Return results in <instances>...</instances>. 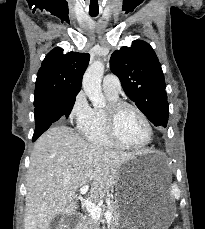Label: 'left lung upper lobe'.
<instances>
[{
    "mask_svg": "<svg viewBox=\"0 0 205 229\" xmlns=\"http://www.w3.org/2000/svg\"><path fill=\"white\" fill-rule=\"evenodd\" d=\"M111 71L117 75L127 96L155 126H167L169 109L165 80L153 48L135 40L112 53Z\"/></svg>",
    "mask_w": 205,
    "mask_h": 229,
    "instance_id": "5c2ea615",
    "label": "left lung upper lobe"
}]
</instances>
